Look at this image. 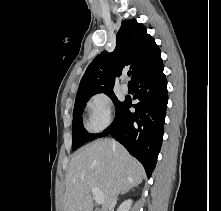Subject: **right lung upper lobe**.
<instances>
[{
	"instance_id": "obj_1",
	"label": "right lung upper lobe",
	"mask_w": 221,
	"mask_h": 211,
	"mask_svg": "<svg viewBox=\"0 0 221 211\" xmlns=\"http://www.w3.org/2000/svg\"><path fill=\"white\" fill-rule=\"evenodd\" d=\"M162 64L161 51L146 28L135 19L124 20L112 53L99 54L87 67L76 98L113 91L114 76L130 65L132 80Z\"/></svg>"
}]
</instances>
